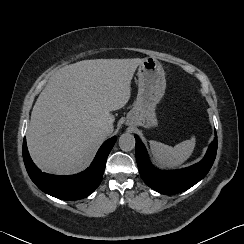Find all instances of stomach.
<instances>
[{
  "label": "stomach",
  "mask_w": 244,
  "mask_h": 244,
  "mask_svg": "<svg viewBox=\"0 0 244 244\" xmlns=\"http://www.w3.org/2000/svg\"><path fill=\"white\" fill-rule=\"evenodd\" d=\"M138 94L134 107L128 113L127 124L146 128L158 125L156 107L165 94V72L161 63L147 57L138 68Z\"/></svg>",
  "instance_id": "1"
}]
</instances>
